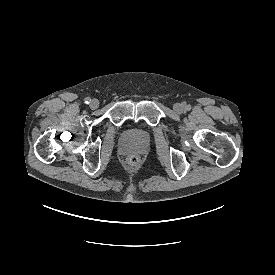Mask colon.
<instances>
[{"label": "colon", "instance_id": "5ec220e1", "mask_svg": "<svg viewBox=\"0 0 275 275\" xmlns=\"http://www.w3.org/2000/svg\"><path fill=\"white\" fill-rule=\"evenodd\" d=\"M129 161H130V163H131L132 165H135V164L138 163L139 158H138L137 155H132V156L130 157Z\"/></svg>", "mask_w": 275, "mask_h": 275}]
</instances>
